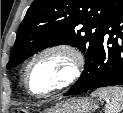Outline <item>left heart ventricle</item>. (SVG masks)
<instances>
[{
  "instance_id": "obj_1",
  "label": "left heart ventricle",
  "mask_w": 123,
  "mask_h": 113,
  "mask_svg": "<svg viewBox=\"0 0 123 113\" xmlns=\"http://www.w3.org/2000/svg\"><path fill=\"white\" fill-rule=\"evenodd\" d=\"M66 61L62 56L43 58L29 70L27 81L35 92H44L65 73Z\"/></svg>"
}]
</instances>
